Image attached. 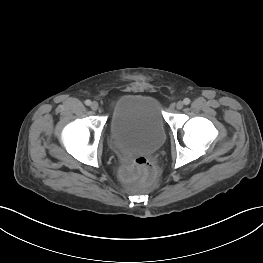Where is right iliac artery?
I'll return each mask as SVG.
<instances>
[{
	"label": "right iliac artery",
	"instance_id": "1",
	"mask_svg": "<svg viewBox=\"0 0 263 263\" xmlns=\"http://www.w3.org/2000/svg\"><path fill=\"white\" fill-rule=\"evenodd\" d=\"M85 104H86L87 106H90V105H91V101H90V100H86V101H85Z\"/></svg>",
	"mask_w": 263,
	"mask_h": 263
}]
</instances>
